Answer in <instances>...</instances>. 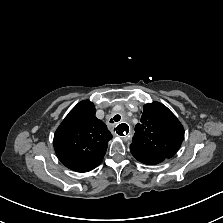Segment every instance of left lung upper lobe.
I'll return each instance as SVG.
<instances>
[{
  "mask_svg": "<svg viewBox=\"0 0 223 223\" xmlns=\"http://www.w3.org/2000/svg\"><path fill=\"white\" fill-rule=\"evenodd\" d=\"M183 138L184 129L177 117L165 105L152 102L143 106L130 148L166 159L177 152Z\"/></svg>",
  "mask_w": 223,
  "mask_h": 223,
  "instance_id": "obj_1",
  "label": "left lung upper lobe"
}]
</instances>
